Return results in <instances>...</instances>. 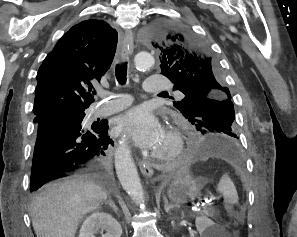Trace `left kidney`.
I'll list each match as a JSON object with an SVG mask.
<instances>
[{
  "instance_id": "obj_1",
  "label": "left kidney",
  "mask_w": 297,
  "mask_h": 237,
  "mask_svg": "<svg viewBox=\"0 0 297 237\" xmlns=\"http://www.w3.org/2000/svg\"><path fill=\"white\" fill-rule=\"evenodd\" d=\"M195 225L200 237H217L218 225L206 216H197Z\"/></svg>"
}]
</instances>
